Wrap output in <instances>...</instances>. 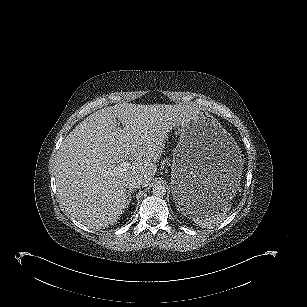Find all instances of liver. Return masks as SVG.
I'll return each instance as SVG.
<instances>
[{"mask_svg":"<svg viewBox=\"0 0 307 307\" xmlns=\"http://www.w3.org/2000/svg\"><path fill=\"white\" fill-rule=\"evenodd\" d=\"M191 110L120 103L84 119L62 142L55 160L57 193L66 212L91 228L113 225L127 208V181L137 177L149 185L169 126L182 123ZM130 157L135 160L121 167ZM117 167L122 171L107 174Z\"/></svg>","mask_w":307,"mask_h":307,"instance_id":"liver-1","label":"liver"}]
</instances>
